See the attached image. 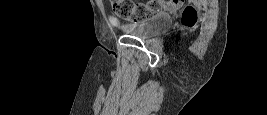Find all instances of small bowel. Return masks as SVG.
<instances>
[{
  "instance_id": "small-bowel-1",
  "label": "small bowel",
  "mask_w": 267,
  "mask_h": 115,
  "mask_svg": "<svg viewBox=\"0 0 267 115\" xmlns=\"http://www.w3.org/2000/svg\"><path fill=\"white\" fill-rule=\"evenodd\" d=\"M182 4H183L182 1L172 0V1L164 2L162 6L165 11L174 13L181 9Z\"/></svg>"
}]
</instances>
